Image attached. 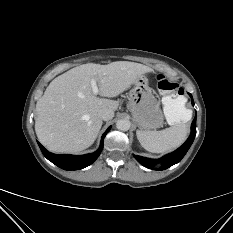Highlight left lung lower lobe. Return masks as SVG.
Segmentation results:
<instances>
[{"mask_svg":"<svg viewBox=\"0 0 233 233\" xmlns=\"http://www.w3.org/2000/svg\"><path fill=\"white\" fill-rule=\"evenodd\" d=\"M189 95L192 99V105H194L192 95L190 93ZM195 135H196V115L191 125V134L189 138L177 150L164 156L160 160L148 159L142 156H134V157L140 164H142L144 167L149 168V169H152L156 163L161 161L163 163V166L159 168L158 170H165L171 167L172 165L181 161V159L184 157V155L187 153L188 149L190 148L191 144L193 143Z\"/></svg>","mask_w":233,"mask_h":233,"instance_id":"1","label":"left lung lower lobe"}]
</instances>
